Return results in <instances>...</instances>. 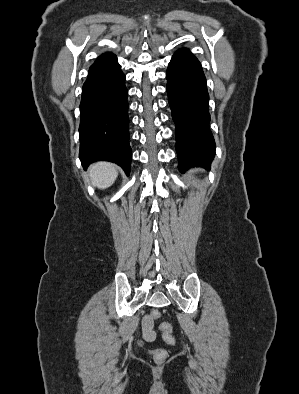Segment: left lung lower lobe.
<instances>
[{
  "label": "left lung lower lobe",
  "instance_id": "left-lung-lower-lobe-1",
  "mask_svg": "<svg viewBox=\"0 0 299 394\" xmlns=\"http://www.w3.org/2000/svg\"><path fill=\"white\" fill-rule=\"evenodd\" d=\"M167 93L176 125L179 170L209 169L215 142L209 129V95L198 59L187 48L177 50L167 69Z\"/></svg>",
  "mask_w": 299,
  "mask_h": 394
}]
</instances>
